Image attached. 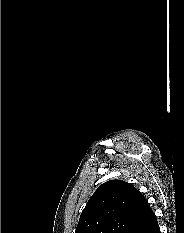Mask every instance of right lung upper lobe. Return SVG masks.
<instances>
[{
	"instance_id": "1",
	"label": "right lung upper lobe",
	"mask_w": 184,
	"mask_h": 233,
	"mask_svg": "<svg viewBox=\"0 0 184 233\" xmlns=\"http://www.w3.org/2000/svg\"><path fill=\"white\" fill-rule=\"evenodd\" d=\"M152 213L145 197L133 185L110 180L88 200L75 233H132Z\"/></svg>"
}]
</instances>
